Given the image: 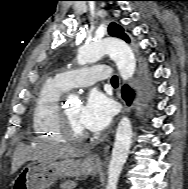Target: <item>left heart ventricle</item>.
Masks as SVG:
<instances>
[{
  "label": "left heart ventricle",
  "mask_w": 188,
  "mask_h": 189,
  "mask_svg": "<svg viewBox=\"0 0 188 189\" xmlns=\"http://www.w3.org/2000/svg\"><path fill=\"white\" fill-rule=\"evenodd\" d=\"M70 123L75 131H85V128L81 125L79 115L81 111V105L74 104L66 108Z\"/></svg>",
  "instance_id": "1"
}]
</instances>
